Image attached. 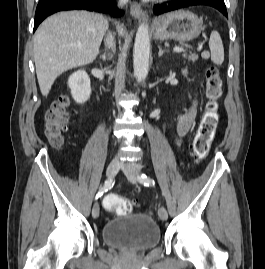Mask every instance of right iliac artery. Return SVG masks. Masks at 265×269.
I'll return each mask as SVG.
<instances>
[{"label": "right iliac artery", "mask_w": 265, "mask_h": 269, "mask_svg": "<svg viewBox=\"0 0 265 269\" xmlns=\"http://www.w3.org/2000/svg\"><path fill=\"white\" fill-rule=\"evenodd\" d=\"M114 185V180L113 178H110L108 180L105 181L103 187L98 191V193L96 194V199H98L99 197H101L105 192H107L109 189H111Z\"/></svg>", "instance_id": "1"}]
</instances>
